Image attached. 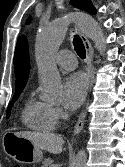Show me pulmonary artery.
<instances>
[{"label":"pulmonary artery","instance_id":"e3ab8cb5","mask_svg":"<svg viewBox=\"0 0 125 167\" xmlns=\"http://www.w3.org/2000/svg\"><path fill=\"white\" fill-rule=\"evenodd\" d=\"M57 65L65 70L72 71L76 68L75 55L68 50H61L55 58Z\"/></svg>","mask_w":125,"mask_h":167}]
</instances>
